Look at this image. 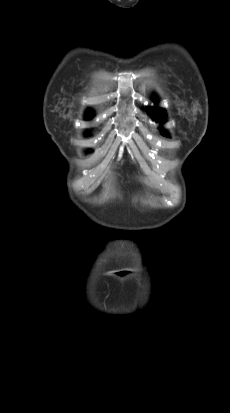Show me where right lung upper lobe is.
I'll return each mask as SVG.
<instances>
[{
	"label": "right lung upper lobe",
	"instance_id": "right-lung-upper-lobe-1",
	"mask_svg": "<svg viewBox=\"0 0 230 413\" xmlns=\"http://www.w3.org/2000/svg\"><path fill=\"white\" fill-rule=\"evenodd\" d=\"M92 115H93V113L91 111H88L87 114H86V117L90 118V117H92Z\"/></svg>",
	"mask_w": 230,
	"mask_h": 413
}]
</instances>
